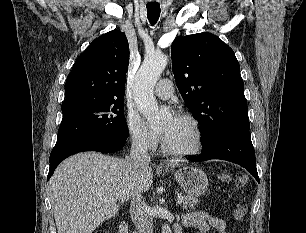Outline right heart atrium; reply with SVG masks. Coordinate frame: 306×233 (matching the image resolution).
I'll list each match as a JSON object with an SVG mask.
<instances>
[{
  "label": "right heart atrium",
  "mask_w": 306,
  "mask_h": 233,
  "mask_svg": "<svg viewBox=\"0 0 306 233\" xmlns=\"http://www.w3.org/2000/svg\"><path fill=\"white\" fill-rule=\"evenodd\" d=\"M126 128L134 148L153 152L158 145L157 135L146 125L142 116L136 111H130L126 117Z\"/></svg>",
  "instance_id": "right-heart-atrium-1"
}]
</instances>
